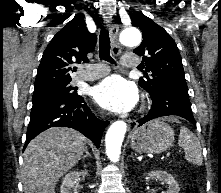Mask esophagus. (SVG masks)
Masks as SVG:
<instances>
[{"label": "esophagus", "mask_w": 221, "mask_h": 193, "mask_svg": "<svg viewBox=\"0 0 221 193\" xmlns=\"http://www.w3.org/2000/svg\"><path fill=\"white\" fill-rule=\"evenodd\" d=\"M119 27L117 24L112 23L110 26V37L112 42V51L114 55H119L122 51V47L118 43ZM129 126L135 128L137 126L136 121L128 120Z\"/></svg>", "instance_id": "1"}]
</instances>
